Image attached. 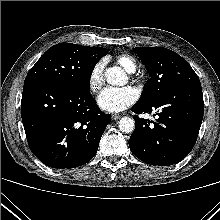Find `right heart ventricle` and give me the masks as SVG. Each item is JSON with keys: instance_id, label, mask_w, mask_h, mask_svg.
Returning <instances> with one entry per match:
<instances>
[{"instance_id": "1", "label": "right heart ventricle", "mask_w": 220, "mask_h": 220, "mask_svg": "<svg viewBox=\"0 0 220 220\" xmlns=\"http://www.w3.org/2000/svg\"><path fill=\"white\" fill-rule=\"evenodd\" d=\"M116 61L120 66H122L128 72H133L136 69V61L130 55L121 54L116 57Z\"/></svg>"}]
</instances>
